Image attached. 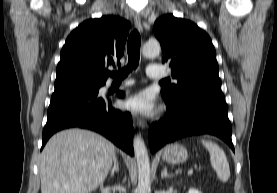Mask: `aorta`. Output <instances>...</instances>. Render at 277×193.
I'll use <instances>...</instances> for the list:
<instances>
[{
  "instance_id": "obj_1",
  "label": "aorta",
  "mask_w": 277,
  "mask_h": 193,
  "mask_svg": "<svg viewBox=\"0 0 277 193\" xmlns=\"http://www.w3.org/2000/svg\"><path fill=\"white\" fill-rule=\"evenodd\" d=\"M161 47L157 42H148L142 48L145 57H156L160 54ZM133 147L138 165L137 193H150V160L145 143L140 135L134 137Z\"/></svg>"
}]
</instances>
